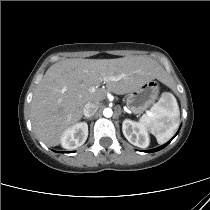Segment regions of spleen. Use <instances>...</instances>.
<instances>
[{
    "label": "spleen",
    "instance_id": "spleen-1",
    "mask_svg": "<svg viewBox=\"0 0 210 210\" xmlns=\"http://www.w3.org/2000/svg\"><path fill=\"white\" fill-rule=\"evenodd\" d=\"M180 111L172 93H162L149 113L140 119V124L152 133L159 144L171 139L179 126Z\"/></svg>",
    "mask_w": 210,
    "mask_h": 210
}]
</instances>
